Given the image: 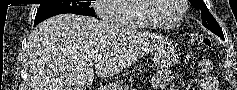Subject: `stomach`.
<instances>
[{
  "mask_svg": "<svg viewBox=\"0 0 237 90\" xmlns=\"http://www.w3.org/2000/svg\"><path fill=\"white\" fill-rule=\"evenodd\" d=\"M178 54L174 50H169L163 54H157L155 58L156 65L158 67H168L176 62ZM118 88V87H117ZM119 90H123L122 87H119Z\"/></svg>",
  "mask_w": 237,
  "mask_h": 90,
  "instance_id": "1",
  "label": "stomach"
}]
</instances>
